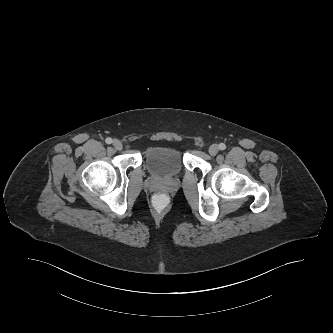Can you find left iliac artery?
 <instances>
[{"instance_id":"44dca946","label":"left iliac artery","mask_w":333,"mask_h":333,"mask_svg":"<svg viewBox=\"0 0 333 333\" xmlns=\"http://www.w3.org/2000/svg\"><path fill=\"white\" fill-rule=\"evenodd\" d=\"M219 149L220 150H225L226 149V145L224 143H220L219 144Z\"/></svg>"}]
</instances>
